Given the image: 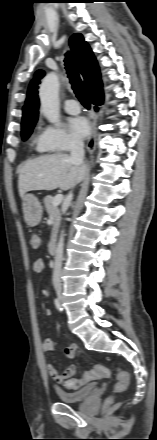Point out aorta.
I'll return each instance as SVG.
<instances>
[{
    "label": "aorta",
    "mask_w": 157,
    "mask_h": 440,
    "mask_svg": "<svg viewBox=\"0 0 157 440\" xmlns=\"http://www.w3.org/2000/svg\"><path fill=\"white\" fill-rule=\"evenodd\" d=\"M59 78L54 72L49 73L43 79L39 97L41 102V112L53 124L60 122V110H59Z\"/></svg>",
    "instance_id": "762f6f07"
}]
</instances>
